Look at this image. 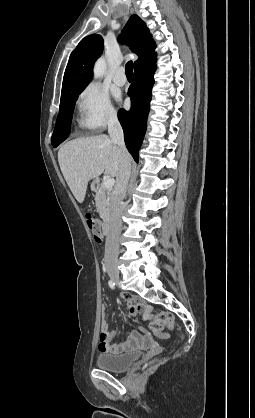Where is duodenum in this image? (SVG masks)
Masks as SVG:
<instances>
[{"label": "duodenum", "mask_w": 255, "mask_h": 418, "mask_svg": "<svg viewBox=\"0 0 255 418\" xmlns=\"http://www.w3.org/2000/svg\"><path fill=\"white\" fill-rule=\"evenodd\" d=\"M99 187H100V182L98 180H95L92 183V189L97 190L99 189ZM110 229H111V220H110V217H106L103 220L101 232L104 236H106L110 233Z\"/></svg>", "instance_id": "410a0bca"}]
</instances>
